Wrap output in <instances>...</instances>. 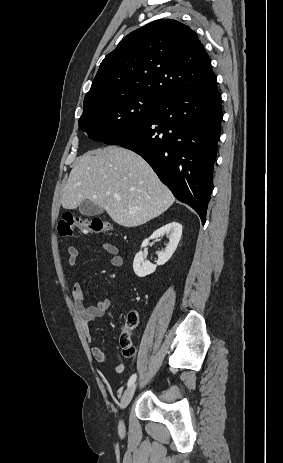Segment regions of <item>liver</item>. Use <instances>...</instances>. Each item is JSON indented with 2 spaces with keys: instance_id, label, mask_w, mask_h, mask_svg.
Here are the masks:
<instances>
[{
  "instance_id": "obj_1",
  "label": "liver",
  "mask_w": 283,
  "mask_h": 463,
  "mask_svg": "<svg viewBox=\"0 0 283 463\" xmlns=\"http://www.w3.org/2000/svg\"><path fill=\"white\" fill-rule=\"evenodd\" d=\"M84 200L105 209L117 224L136 227L160 216L175 198L142 157L111 146L88 151L71 170L62 207L75 209Z\"/></svg>"
}]
</instances>
